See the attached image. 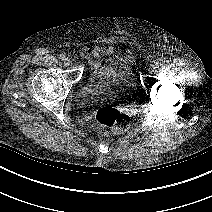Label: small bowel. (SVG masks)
I'll use <instances>...</instances> for the list:
<instances>
[{
    "mask_svg": "<svg viewBox=\"0 0 212 212\" xmlns=\"http://www.w3.org/2000/svg\"><path fill=\"white\" fill-rule=\"evenodd\" d=\"M81 53L88 59L91 67H96L100 64L101 57L114 53V48L112 46H92L84 48Z\"/></svg>",
    "mask_w": 212,
    "mask_h": 212,
    "instance_id": "1",
    "label": "small bowel"
}]
</instances>
